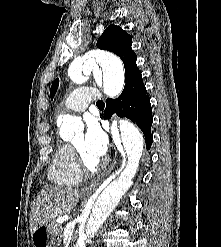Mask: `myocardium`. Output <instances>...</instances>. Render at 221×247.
I'll return each mask as SVG.
<instances>
[{
	"mask_svg": "<svg viewBox=\"0 0 221 247\" xmlns=\"http://www.w3.org/2000/svg\"><path fill=\"white\" fill-rule=\"evenodd\" d=\"M71 147L74 151V154L76 156L81 171L87 174H91V173H95L102 166L103 163L102 160H96L95 162H90L85 158V156L80 152V150L74 144H71Z\"/></svg>",
	"mask_w": 221,
	"mask_h": 247,
	"instance_id": "1",
	"label": "myocardium"
}]
</instances>
